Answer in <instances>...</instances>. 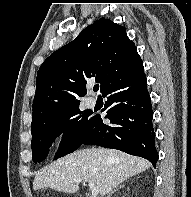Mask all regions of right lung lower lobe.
Wrapping results in <instances>:
<instances>
[{"label":"right lung lower lobe","instance_id":"obj_1","mask_svg":"<svg viewBox=\"0 0 191 197\" xmlns=\"http://www.w3.org/2000/svg\"><path fill=\"white\" fill-rule=\"evenodd\" d=\"M109 125L99 115L82 144L118 149L149 160L155 167L158 153L152 125L153 111L143 65L114 81L102 92Z\"/></svg>","mask_w":191,"mask_h":197}]
</instances>
